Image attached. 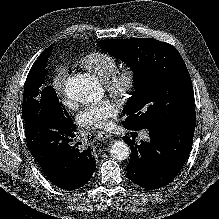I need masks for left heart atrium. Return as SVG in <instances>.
I'll return each instance as SVG.
<instances>
[{"label":"left heart atrium","instance_id":"1","mask_svg":"<svg viewBox=\"0 0 219 219\" xmlns=\"http://www.w3.org/2000/svg\"><path fill=\"white\" fill-rule=\"evenodd\" d=\"M118 112L117 101L106 98L82 109L77 116V121L85 128L103 129L111 125Z\"/></svg>","mask_w":219,"mask_h":219}]
</instances>
